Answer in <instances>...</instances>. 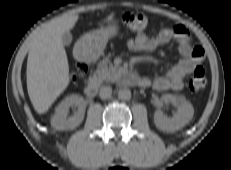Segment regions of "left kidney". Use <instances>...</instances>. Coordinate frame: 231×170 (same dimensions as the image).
I'll return each mask as SVG.
<instances>
[{
    "label": "left kidney",
    "instance_id": "5707ae66",
    "mask_svg": "<svg viewBox=\"0 0 231 170\" xmlns=\"http://www.w3.org/2000/svg\"><path fill=\"white\" fill-rule=\"evenodd\" d=\"M161 101L174 105L177 108V113L172 118H168L157 110L154 114V123L158 129L174 132L183 128L192 119L194 108L183 96L165 94L161 97Z\"/></svg>",
    "mask_w": 231,
    "mask_h": 170
}]
</instances>
